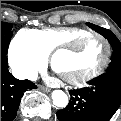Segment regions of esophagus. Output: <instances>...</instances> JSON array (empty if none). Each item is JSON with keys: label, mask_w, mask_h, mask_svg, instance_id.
Wrapping results in <instances>:
<instances>
[{"label": "esophagus", "mask_w": 121, "mask_h": 121, "mask_svg": "<svg viewBox=\"0 0 121 121\" xmlns=\"http://www.w3.org/2000/svg\"><path fill=\"white\" fill-rule=\"evenodd\" d=\"M38 88H39L41 91H43V92H46V93L50 92V89L47 88V87L39 86Z\"/></svg>", "instance_id": "34e87169"}]
</instances>
